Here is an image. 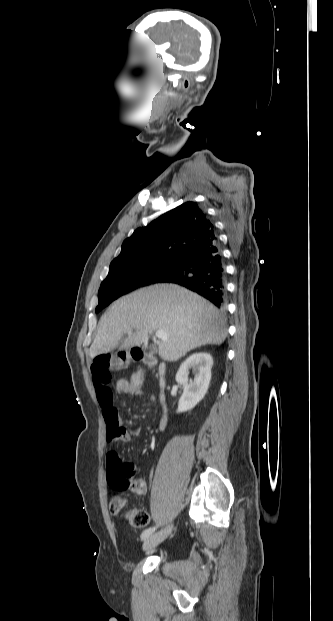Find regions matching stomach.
Here are the masks:
<instances>
[{"instance_id": "obj_1", "label": "stomach", "mask_w": 333, "mask_h": 621, "mask_svg": "<svg viewBox=\"0 0 333 621\" xmlns=\"http://www.w3.org/2000/svg\"><path fill=\"white\" fill-rule=\"evenodd\" d=\"M118 356L121 358L123 355L120 353ZM126 358H128V356Z\"/></svg>"}]
</instances>
